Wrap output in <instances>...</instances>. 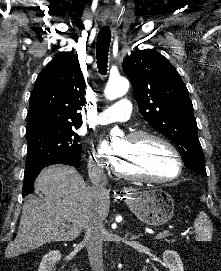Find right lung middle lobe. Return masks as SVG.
<instances>
[{
	"label": "right lung middle lobe",
	"mask_w": 221,
	"mask_h": 271,
	"mask_svg": "<svg viewBox=\"0 0 221 271\" xmlns=\"http://www.w3.org/2000/svg\"><path fill=\"white\" fill-rule=\"evenodd\" d=\"M28 152L26 167L80 159L82 145L73 127L40 126L26 131Z\"/></svg>",
	"instance_id": "dd1d6c3e"
}]
</instances>
